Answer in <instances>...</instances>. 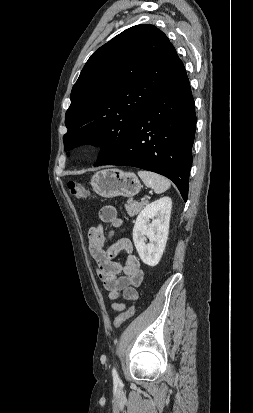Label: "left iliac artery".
<instances>
[{
    "label": "left iliac artery",
    "instance_id": "obj_1",
    "mask_svg": "<svg viewBox=\"0 0 253 413\" xmlns=\"http://www.w3.org/2000/svg\"><path fill=\"white\" fill-rule=\"evenodd\" d=\"M112 375H113L114 381H118V380H119V377H118V374H117V371H116L115 368L112 369Z\"/></svg>",
    "mask_w": 253,
    "mask_h": 413
}]
</instances>
